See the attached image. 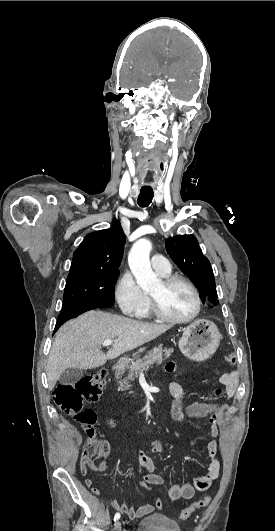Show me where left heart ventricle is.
<instances>
[{
  "mask_svg": "<svg viewBox=\"0 0 275 531\" xmlns=\"http://www.w3.org/2000/svg\"><path fill=\"white\" fill-rule=\"evenodd\" d=\"M150 294L157 299L161 310L173 318L186 317L195 308L191 291L182 283L164 285L160 281Z\"/></svg>",
  "mask_w": 275,
  "mask_h": 531,
  "instance_id": "obj_1",
  "label": "left heart ventricle"
}]
</instances>
